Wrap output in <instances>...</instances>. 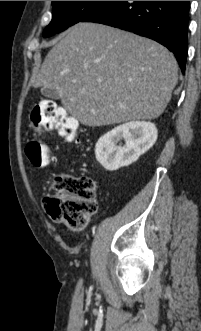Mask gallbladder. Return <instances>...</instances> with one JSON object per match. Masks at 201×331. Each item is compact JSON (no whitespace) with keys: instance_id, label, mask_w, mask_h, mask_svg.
Masks as SVG:
<instances>
[{"instance_id":"bac80fb5","label":"gallbladder","mask_w":201,"mask_h":331,"mask_svg":"<svg viewBox=\"0 0 201 331\" xmlns=\"http://www.w3.org/2000/svg\"><path fill=\"white\" fill-rule=\"evenodd\" d=\"M41 94L45 98H49V99H53V100L60 99L58 91L54 88H42L41 89Z\"/></svg>"}]
</instances>
